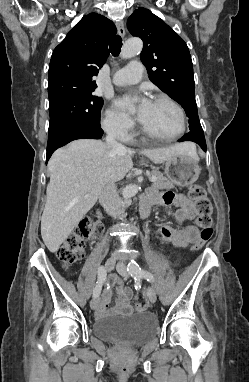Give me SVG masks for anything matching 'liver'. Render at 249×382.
<instances>
[{
  "label": "liver",
  "mask_w": 249,
  "mask_h": 382,
  "mask_svg": "<svg viewBox=\"0 0 249 382\" xmlns=\"http://www.w3.org/2000/svg\"><path fill=\"white\" fill-rule=\"evenodd\" d=\"M133 149L115 150L95 139H78L56 150L48 162L50 181L41 218V236L50 252H56L85 214L95 205L107 181H119L133 168ZM155 164L176 154L196 159L192 143H177L140 151Z\"/></svg>",
  "instance_id": "obj_1"
}]
</instances>
